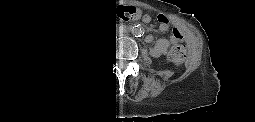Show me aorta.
Instances as JSON below:
<instances>
[{
    "label": "aorta",
    "instance_id": "762f6f07",
    "mask_svg": "<svg viewBox=\"0 0 255 122\" xmlns=\"http://www.w3.org/2000/svg\"><path fill=\"white\" fill-rule=\"evenodd\" d=\"M132 34L135 36V37H139L143 34V28L140 27V26H135L133 27L132 29Z\"/></svg>",
    "mask_w": 255,
    "mask_h": 122
}]
</instances>
